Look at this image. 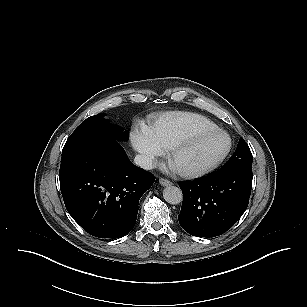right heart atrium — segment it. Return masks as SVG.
<instances>
[{
    "label": "right heart atrium",
    "instance_id": "1",
    "mask_svg": "<svg viewBox=\"0 0 307 307\" xmlns=\"http://www.w3.org/2000/svg\"><path fill=\"white\" fill-rule=\"evenodd\" d=\"M131 141L145 167L153 166L163 153V147L150 136L146 128L134 129L131 132Z\"/></svg>",
    "mask_w": 307,
    "mask_h": 307
}]
</instances>
